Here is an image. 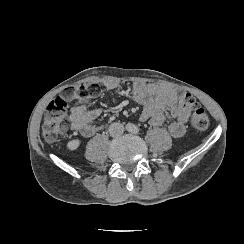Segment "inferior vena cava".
Wrapping results in <instances>:
<instances>
[{"mask_svg":"<svg viewBox=\"0 0 244 244\" xmlns=\"http://www.w3.org/2000/svg\"><path fill=\"white\" fill-rule=\"evenodd\" d=\"M124 132V126L121 123H112L109 126V133L112 137H119Z\"/></svg>","mask_w":244,"mask_h":244,"instance_id":"obj_1","label":"inferior vena cava"}]
</instances>
